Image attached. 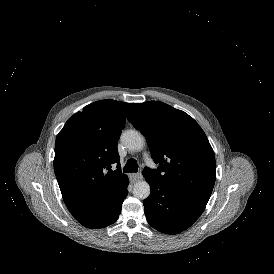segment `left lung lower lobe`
<instances>
[{
    "label": "left lung lower lobe",
    "instance_id": "obj_1",
    "mask_svg": "<svg viewBox=\"0 0 274 274\" xmlns=\"http://www.w3.org/2000/svg\"><path fill=\"white\" fill-rule=\"evenodd\" d=\"M151 187L143 201L148 223L160 232L177 234L190 227L202 214L208 200L185 195L158 181L146 178Z\"/></svg>",
    "mask_w": 274,
    "mask_h": 274
}]
</instances>
